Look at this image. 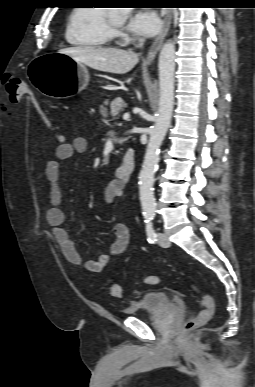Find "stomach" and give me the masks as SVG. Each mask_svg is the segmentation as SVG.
I'll return each instance as SVG.
<instances>
[{"label": "stomach", "mask_w": 255, "mask_h": 387, "mask_svg": "<svg viewBox=\"0 0 255 387\" xmlns=\"http://www.w3.org/2000/svg\"><path fill=\"white\" fill-rule=\"evenodd\" d=\"M56 50V46H41L43 55H35L29 62L30 75H26V82H33L36 91L48 95V99H69V94L88 84V69Z\"/></svg>", "instance_id": "1"}]
</instances>
